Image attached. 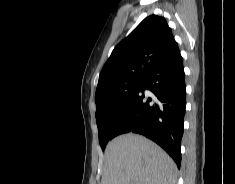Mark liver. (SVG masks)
Masks as SVG:
<instances>
[{
  "mask_svg": "<svg viewBox=\"0 0 235 184\" xmlns=\"http://www.w3.org/2000/svg\"><path fill=\"white\" fill-rule=\"evenodd\" d=\"M107 168L102 184H176L177 168L157 144L123 134L107 144Z\"/></svg>",
  "mask_w": 235,
  "mask_h": 184,
  "instance_id": "obj_1",
  "label": "liver"
}]
</instances>
